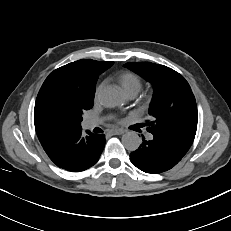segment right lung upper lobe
Wrapping results in <instances>:
<instances>
[{
	"mask_svg": "<svg viewBox=\"0 0 231 231\" xmlns=\"http://www.w3.org/2000/svg\"><path fill=\"white\" fill-rule=\"evenodd\" d=\"M113 62L82 59L54 70L44 81L35 103L34 124L41 144L74 130H60L40 111L42 101L51 96L64 95L82 102H93L99 74Z\"/></svg>",
	"mask_w": 231,
	"mask_h": 231,
	"instance_id": "cb5924a9",
	"label": "right lung upper lobe"
}]
</instances>
